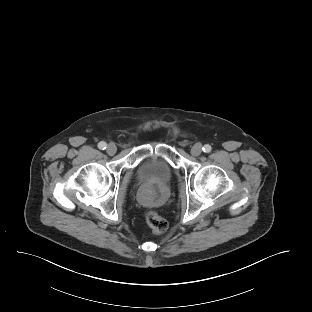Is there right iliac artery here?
<instances>
[{
  "label": "right iliac artery",
  "instance_id": "82829eb1",
  "mask_svg": "<svg viewBox=\"0 0 312 312\" xmlns=\"http://www.w3.org/2000/svg\"><path fill=\"white\" fill-rule=\"evenodd\" d=\"M106 147H107L106 142L101 141V142L98 144V148L101 149V150H105Z\"/></svg>",
  "mask_w": 312,
  "mask_h": 312
}]
</instances>
